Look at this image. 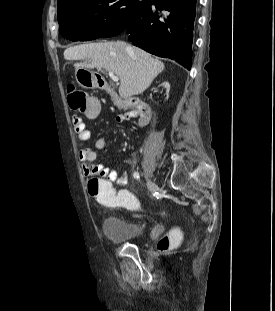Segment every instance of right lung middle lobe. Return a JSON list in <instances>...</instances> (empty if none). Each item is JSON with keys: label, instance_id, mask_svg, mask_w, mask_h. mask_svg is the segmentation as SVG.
I'll use <instances>...</instances> for the list:
<instances>
[{"label": "right lung middle lobe", "instance_id": "right-lung-middle-lobe-1", "mask_svg": "<svg viewBox=\"0 0 275 311\" xmlns=\"http://www.w3.org/2000/svg\"><path fill=\"white\" fill-rule=\"evenodd\" d=\"M153 0H71L58 5L59 33L79 40L89 34L110 37L125 30L129 21Z\"/></svg>", "mask_w": 275, "mask_h": 311}]
</instances>
